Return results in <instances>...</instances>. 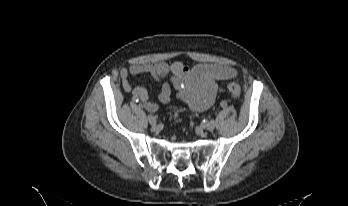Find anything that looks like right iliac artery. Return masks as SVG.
<instances>
[{"label":"right iliac artery","instance_id":"right-iliac-artery-1","mask_svg":"<svg viewBox=\"0 0 348 206\" xmlns=\"http://www.w3.org/2000/svg\"><path fill=\"white\" fill-rule=\"evenodd\" d=\"M133 103H139V97L133 96Z\"/></svg>","mask_w":348,"mask_h":206}]
</instances>
